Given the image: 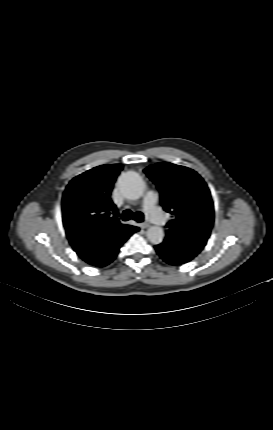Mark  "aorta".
<instances>
[{"label": "aorta", "instance_id": "1", "mask_svg": "<svg viewBox=\"0 0 273 430\" xmlns=\"http://www.w3.org/2000/svg\"><path fill=\"white\" fill-rule=\"evenodd\" d=\"M118 187L124 197L135 200L142 196L145 183L138 173L128 171L119 177ZM164 236V231L159 226H151L147 230V238L154 245L162 243Z\"/></svg>", "mask_w": 273, "mask_h": 430}]
</instances>
